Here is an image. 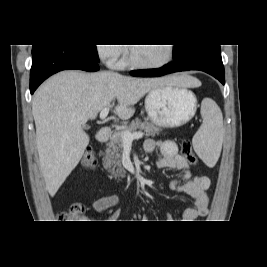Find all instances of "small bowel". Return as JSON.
<instances>
[{
	"label": "small bowel",
	"mask_w": 267,
	"mask_h": 267,
	"mask_svg": "<svg viewBox=\"0 0 267 267\" xmlns=\"http://www.w3.org/2000/svg\"><path fill=\"white\" fill-rule=\"evenodd\" d=\"M159 149L162 157L157 161V167L160 169H176L181 172L179 179L174 180L170 184V189L174 192H183L190 195L194 202L193 207L187 209L181 222H192L197 218L204 216L208 211L207 189L210 186V180L207 176H192L186 159L178 153L177 144L171 140H154L145 141L144 149L147 153ZM119 196L107 195L94 201L92 208L95 213H100L107 209L116 207L119 204ZM120 212L117 210L113 213L112 219L118 220ZM171 219V215H167ZM143 222H148L146 217H142Z\"/></svg>",
	"instance_id": "c3829d8e"
}]
</instances>
